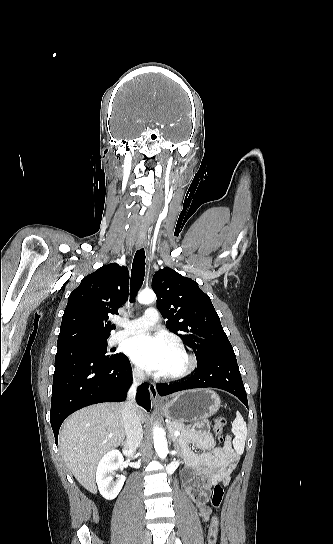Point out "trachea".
Instances as JSON below:
<instances>
[{
  "mask_svg": "<svg viewBox=\"0 0 333 544\" xmlns=\"http://www.w3.org/2000/svg\"><path fill=\"white\" fill-rule=\"evenodd\" d=\"M145 276V251L143 248L136 251L131 270L130 302L135 301L137 292L141 288Z\"/></svg>",
  "mask_w": 333,
  "mask_h": 544,
  "instance_id": "trachea-1",
  "label": "trachea"
}]
</instances>
